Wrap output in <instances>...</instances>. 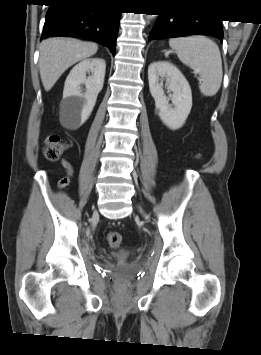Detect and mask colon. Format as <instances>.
<instances>
[{"label":"colon","instance_id":"colon-1","mask_svg":"<svg viewBox=\"0 0 261 355\" xmlns=\"http://www.w3.org/2000/svg\"><path fill=\"white\" fill-rule=\"evenodd\" d=\"M64 149V145L60 138L56 135H51L46 140V146L43 150L44 157L49 161H56L60 158ZM71 174L61 178L58 182V187H64L69 183ZM107 242L112 248H119L122 244V235L119 232H110L107 235Z\"/></svg>","mask_w":261,"mask_h":355}]
</instances>
